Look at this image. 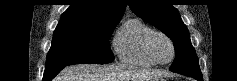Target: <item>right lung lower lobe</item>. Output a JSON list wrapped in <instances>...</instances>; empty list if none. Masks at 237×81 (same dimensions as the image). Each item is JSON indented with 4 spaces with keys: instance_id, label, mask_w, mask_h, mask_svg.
Wrapping results in <instances>:
<instances>
[{
    "instance_id": "1",
    "label": "right lung lower lobe",
    "mask_w": 237,
    "mask_h": 81,
    "mask_svg": "<svg viewBox=\"0 0 237 81\" xmlns=\"http://www.w3.org/2000/svg\"><path fill=\"white\" fill-rule=\"evenodd\" d=\"M64 67L66 66L45 69L43 81H51Z\"/></svg>"
}]
</instances>
